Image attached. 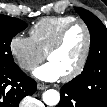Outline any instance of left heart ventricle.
<instances>
[{"label":"left heart ventricle","mask_w":107,"mask_h":107,"mask_svg":"<svg viewBox=\"0 0 107 107\" xmlns=\"http://www.w3.org/2000/svg\"><path fill=\"white\" fill-rule=\"evenodd\" d=\"M86 42L85 31L81 26L73 27L66 36L62 47L49 56L61 71L62 76L72 72L78 65Z\"/></svg>","instance_id":"1"}]
</instances>
